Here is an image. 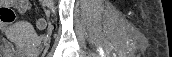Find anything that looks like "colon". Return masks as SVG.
Returning a JSON list of instances; mask_svg holds the SVG:
<instances>
[{"instance_id": "obj_1", "label": "colon", "mask_w": 172, "mask_h": 57, "mask_svg": "<svg viewBox=\"0 0 172 57\" xmlns=\"http://www.w3.org/2000/svg\"><path fill=\"white\" fill-rule=\"evenodd\" d=\"M16 19L15 12L12 8L4 6L0 8V21L6 25L12 24ZM47 26V21L40 18L36 21V27L39 30L45 29Z\"/></svg>"}]
</instances>
